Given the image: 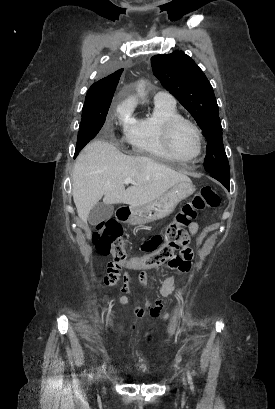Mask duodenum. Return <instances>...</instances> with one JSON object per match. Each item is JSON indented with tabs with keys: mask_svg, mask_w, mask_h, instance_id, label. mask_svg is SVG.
Instances as JSON below:
<instances>
[{
	"mask_svg": "<svg viewBox=\"0 0 275 409\" xmlns=\"http://www.w3.org/2000/svg\"><path fill=\"white\" fill-rule=\"evenodd\" d=\"M131 215V209L129 206H123L118 210L117 218L119 221H126Z\"/></svg>",
	"mask_w": 275,
	"mask_h": 409,
	"instance_id": "obj_1",
	"label": "duodenum"
}]
</instances>
